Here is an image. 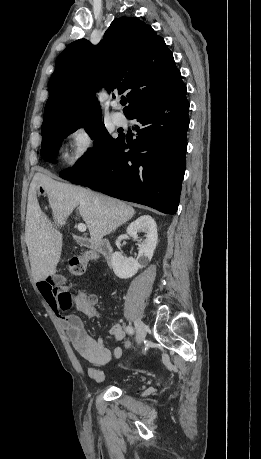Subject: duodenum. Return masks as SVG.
I'll list each match as a JSON object with an SVG mask.
<instances>
[{
	"instance_id": "1",
	"label": "duodenum",
	"mask_w": 261,
	"mask_h": 459,
	"mask_svg": "<svg viewBox=\"0 0 261 459\" xmlns=\"http://www.w3.org/2000/svg\"><path fill=\"white\" fill-rule=\"evenodd\" d=\"M77 239L84 246L96 249L104 257L108 264L112 263L113 248L108 241L103 240L98 245H95L89 238L78 236Z\"/></svg>"
}]
</instances>
